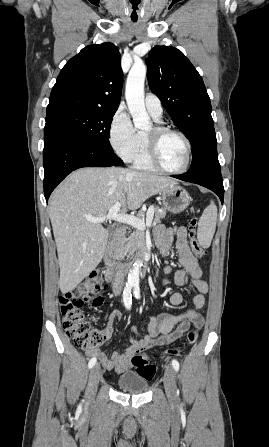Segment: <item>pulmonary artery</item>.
I'll use <instances>...</instances> for the list:
<instances>
[{"label":"pulmonary artery","mask_w":269,"mask_h":447,"mask_svg":"<svg viewBox=\"0 0 269 447\" xmlns=\"http://www.w3.org/2000/svg\"><path fill=\"white\" fill-rule=\"evenodd\" d=\"M144 105L147 111L156 119L162 118L163 108L158 96L153 93H147L144 99Z\"/></svg>","instance_id":"obj_1"}]
</instances>
